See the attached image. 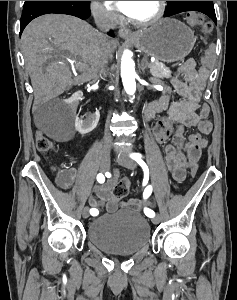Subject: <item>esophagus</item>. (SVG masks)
<instances>
[{"label": "esophagus", "instance_id": "obj_1", "mask_svg": "<svg viewBox=\"0 0 237 300\" xmlns=\"http://www.w3.org/2000/svg\"><path fill=\"white\" fill-rule=\"evenodd\" d=\"M118 34L121 38L124 39H135L137 37V35L135 33H132V31H130V29H128L127 27L120 28Z\"/></svg>", "mask_w": 237, "mask_h": 300}]
</instances>
